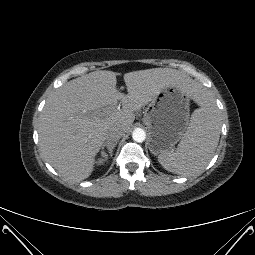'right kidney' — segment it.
<instances>
[{
	"mask_svg": "<svg viewBox=\"0 0 255 255\" xmlns=\"http://www.w3.org/2000/svg\"><path fill=\"white\" fill-rule=\"evenodd\" d=\"M102 156H103V155H102ZM103 157H104V156H103ZM104 161H106V158H104V159H99L97 163H98V165H102Z\"/></svg>",
	"mask_w": 255,
	"mask_h": 255,
	"instance_id": "1",
	"label": "right kidney"
}]
</instances>
